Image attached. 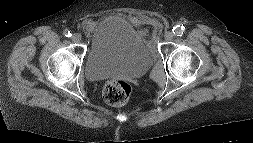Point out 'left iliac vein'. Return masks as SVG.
I'll return each mask as SVG.
<instances>
[{
  "label": "left iliac vein",
  "mask_w": 253,
  "mask_h": 143,
  "mask_svg": "<svg viewBox=\"0 0 253 143\" xmlns=\"http://www.w3.org/2000/svg\"><path fill=\"white\" fill-rule=\"evenodd\" d=\"M164 38L166 41H172L174 38V34L171 31L165 33Z\"/></svg>",
  "instance_id": "left-iliac-vein-1"
}]
</instances>
